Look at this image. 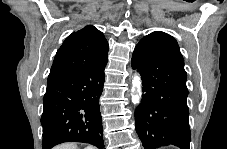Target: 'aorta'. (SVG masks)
Instances as JSON below:
<instances>
[{"instance_id":"762f6f07","label":"aorta","mask_w":227,"mask_h":149,"mask_svg":"<svg viewBox=\"0 0 227 149\" xmlns=\"http://www.w3.org/2000/svg\"><path fill=\"white\" fill-rule=\"evenodd\" d=\"M132 99L134 103H139L141 99V78L138 74H134L132 77Z\"/></svg>"}]
</instances>
